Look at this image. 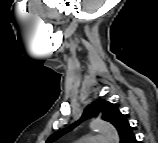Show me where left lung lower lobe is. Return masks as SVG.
Masks as SVG:
<instances>
[{
  "label": "left lung lower lobe",
  "instance_id": "left-lung-lower-lobe-1",
  "mask_svg": "<svg viewBox=\"0 0 158 143\" xmlns=\"http://www.w3.org/2000/svg\"><path fill=\"white\" fill-rule=\"evenodd\" d=\"M136 142L137 140L133 134L132 136L128 137L124 143H136Z\"/></svg>",
  "mask_w": 158,
  "mask_h": 143
}]
</instances>
